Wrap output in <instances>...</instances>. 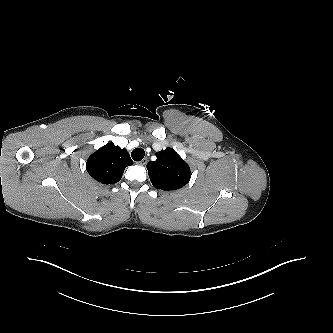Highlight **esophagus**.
Instances as JSON below:
<instances>
[{"label": "esophagus", "mask_w": 333, "mask_h": 333, "mask_svg": "<svg viewBox=\"0 0 333 333\" xmlns=\"http://www.w3.org/2000/svg\"><path fill=\"white\" fill-rule=\"evenodd\" d=\"M148 162V159L147 158H143L141 161L138 162L139 165H146Z\"/></svg>", "instance_id": "obj_1"}]
</instances>
